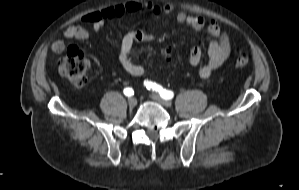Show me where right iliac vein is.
Returning <instances> with one entry per match:
<instances>
[{"label": "right iliac vein", "mask_w": 299, "mask_h": 190, "mask_svg": "<svg viewBox=\"0 0 299 190\" xmlns=\"http://www.w3.org/2000/svg\"><path fill=\"white\" fill-rule=\"evenodd\" d=\"M128 104L130 107H135L137 105V99L135 97H130L128 99Z\"/></svg>", "instance_id": "right-iliac-vein-1"}]
</instances>
